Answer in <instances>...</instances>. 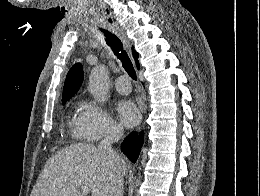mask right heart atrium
<instances>
[{
    "label": "right heart atrium",
    "instance_id": "right-heart-atrium-1",
    "mask_svg": "<svg viewBox=\"0 0 260 196\" xmlns=\"http://www.w3.org/2000/svg\"><path fill=\"white\" fill-rule=\"evenodd\" d=\"M74 127L78 131L92 132L90 138L93 141L99 138L97 132L120 128L111 114L103 106L91 100L82 103Z\"/></svg>",
    "mask_w": 260,
    "mask_h": 196
}]
</instances>
